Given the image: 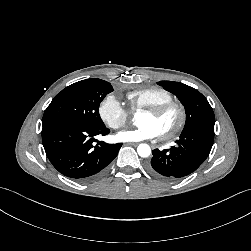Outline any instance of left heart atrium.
I'll use <instances>...</instances> for the list:
<instances>
[{"label":"left heart atrium","mask_w":251,"mask_h":251,"mask_svg":"<svg viewBox=\"0 0 251 251\" xmlns=\"http://www.w3.org/2000/svg\"><path fill=\"white\" fill-rule=\"evenodd\" d=\"M158 135L159 132L153 125L145 124L137 128L120 131L117 133L116 139L123 142H137L153 139Z\"/></svg>","instance_id":"39dd6f15"}]
</instances>
